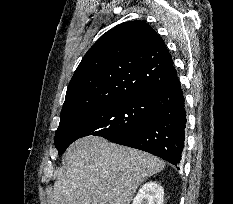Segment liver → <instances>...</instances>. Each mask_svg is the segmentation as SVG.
I'll return each instance as SVG.
<instances>
[{
  "mask_svg": "<svg viewBox=\"0 0 233 204\" xmlns=\"http://www.w3.org/2000/svg\"><path fill=\"white\" fill-rule=\"evenodd\" d=\"M65 161L50 204H130L139 185L165 167L152 154L92 135L71 144Z\"/></svg>",
  "mask_w": 233,
  "mask_h": 204,
  "instance_id": "1",
  "label": "liver"
}]
</instances>
